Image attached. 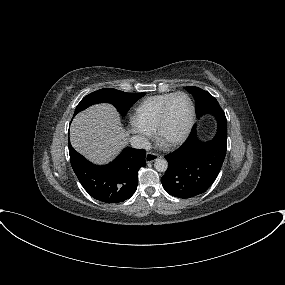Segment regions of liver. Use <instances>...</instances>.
Wrapping results in <instances>:
<instances>
[{
  "label": "liver",
  "mask_w": 285,
  "mask_h": 285,
  "mask_svg": "<svg viewBox=\"0 0 285 285\" xmlns=\"http://www.w3.org/2000/svg\"><path fill=\"white\" fill-rule=\"evenodd\" d=\"M70 141L76 151L95 164L111 161L125 146L128 134L115 108L94 105L75 116Z\"/></svg>",
  "instance_id": "6515ba94"
}]
</instances>
